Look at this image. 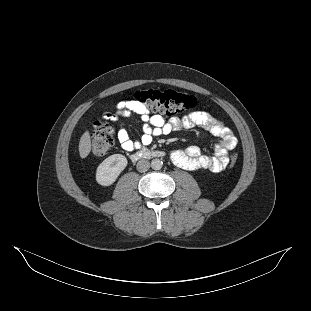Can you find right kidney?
<instances>
[{
    "label": "right kidney",
    "mask_w": 311,
    "mask_h": 311,
    "mask_svg": "<svg viewBox=\"0 0 311 311\" xmlns=\"http://www.w3.org/2000/svg\"><path fill=\"white\" fill-rule=\"evenodd\" d=\"M126 165L127 159L124 155L114 154L109 156L98 167L97 181L102 185L113 183Z\"/></svg>",
    "instance_id": "1"
}]
</instances>
